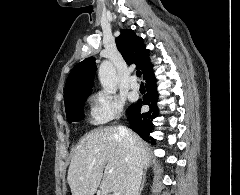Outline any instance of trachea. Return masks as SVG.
I'll list each match as a JSON object with an SVG mask.
<instances>
[{
  "instance_id": "3493384b",
  "label": "trachea",
  "mask_w": 240,
  "mask_h": 195,
  "mask_svg": "<svg viewBox=\"0 0 240 195\" xmlns=\"http://www.w3.org/2000/svg\"><path fill=\"white\" fill-rule=\"evenodd\" d=\"M136 75H137V77H141V71L137 70ZM141 84H142V82H141Z\"/></svg>"
}]
</instances>
